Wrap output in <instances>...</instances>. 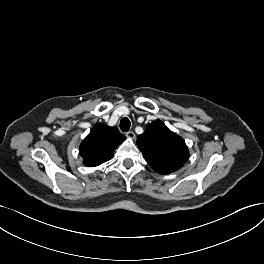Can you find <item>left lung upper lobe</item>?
<instances>
[{
    "label": "left lung upper lobe",
    "instance_id": "1",
    "mask_svg": "<svg viewBox=\"0 0 264 264\" xmlns=\"http://www.w3.org/2000/svg\"><path fill=\"white\" fill-rule=\"evenodd\" d=\"M137 146L147 163L162 174L178 170L189 158L184 140L160 120L147 125L145 132L137 137Z\"/></svg>",
    "mask_w": 264,
    "mask_h": 264
}]
</instances>
